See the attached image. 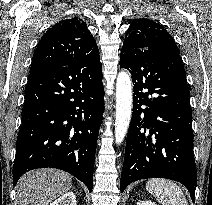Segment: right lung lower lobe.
<instances>
[{
  "instance_id": "obj_1",
  "label": "right lung lower lobe",
  "mask_w": 212,
  "mask_h": 205,
  "mask_svg": "<svg viewBox=\"0 0 212 205\" xmlns=\"http://www.w3.org/2000/svg\"><path fill=\"white\" fill-rule=\"evenodd\" d=\"M102 66L73 64L30 73L17 137L13 184L29 170L52 167L92 191L104 112Z\"/></svg>"
}]
</instances>
